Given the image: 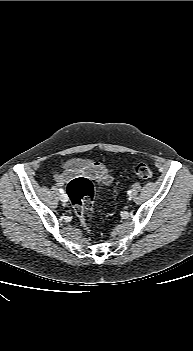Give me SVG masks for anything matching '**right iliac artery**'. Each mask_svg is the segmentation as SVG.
I'll use <instances>...</instances> for the list:
<instances>
[{"instance_id":"1","label":"right iliac artery","mask_w":193,"mask_h":351,"mask_svg":"<svg viewBox=\"0 0 193 351\" xmlns=\"http://www.w3.org/2000/svg\"><path fill=\"white\" fill-rule=\"evenodd\" d=\"M59 192L63 194V193H64V190H63L62 188H60V189H59Z\"/></svg>"}]
</instances>
